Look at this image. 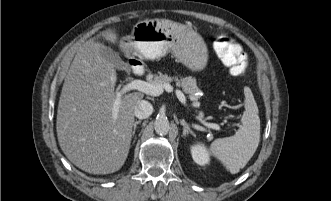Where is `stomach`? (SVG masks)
Returning <instances> with one entry per match:
<instances>
[{
  "label": "stomach",
  "mask_w": 331,
  "mask_h": 201,
  "mask_svg": "<svg viewBox=\"0 0 331 201\" xmlns=\"http://www.w3.org/2000/svg\"><path fill=\"white\" fill-rule=\"evenodd\" d=\"M120 43L125 50L149 60L172 53L178 62L193 71L202 70L208 60L206 44L198 33L166 19L137 22Z\"/></svg>",
  "instance_id": "stomach-1"
}]
</instances>
